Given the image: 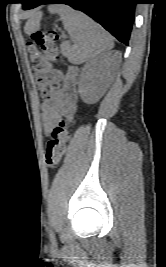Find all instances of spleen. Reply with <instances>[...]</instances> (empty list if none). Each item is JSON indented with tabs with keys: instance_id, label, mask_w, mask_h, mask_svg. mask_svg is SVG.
Returning <instances> with one entry per match:
<instances>
[{
	"instance_id": "3e777b00",
	"label": "spleen",
	"mask_w": 166,
	"mask_h": 267,
	"mask_svg": "<svg viewBox=\"0 0 166 267\" xmlns=\"http://www.w3.org/2000/svg\"><path fill=\"white\" fill-rule=\"evenodd\" d=\"M48 10L60 16L64 28L75 40L74 45L67 51V58L71 63L81 64L90 61L112 49L113 41L110 35L84 13L75 11L67 5H51ZM40 18L39 14L32 18V29L39 26Z\"/></svg>"
}]
</instances>
